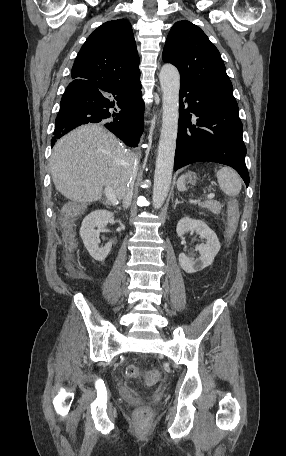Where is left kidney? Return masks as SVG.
Instances as JSON below:
<instances>
[{
  "mask_svg": "<svg viewBox=\"0 0 286 456\" xmlns=\"http://www.w3.org/2000/svg\"><path fill=\"white\" fill-rule=\"evenodd\" d=\"M189 231H195L201 239L206 240L205 244L196 246L200 253L198 259L192 260L185 253L179 254L181 268L187 273H195L212 264L220 250V242L215 232L205 222L184 217L177 224V235L181 237Z\"/></svg>",
  "mask_w": 286,
  "mask_h": 456,
  "instance_id": "obj_1",
  "label": "left kidney"
}]
</instances>
